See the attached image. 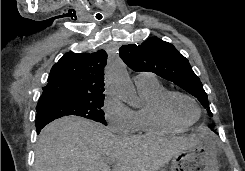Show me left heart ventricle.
Listing matches in <instances>:
<instances>
[{
    "mask_svg": "<svg viewBox=\"0 0 245 171\" xmlns=\"http://www.w3.org/2000/svg\"><path fill=\"white\" fill-rule=\"evenodd\" d=\"M173 115L182 122H192L197 117V109L194 104L184 97H174L171 102Z\"/></svg>",
    "mask_w": 245,
    "mask_h": 171,
    "instance_id": "1",
    "label": "left heart ventricle"
}]
</instances>
